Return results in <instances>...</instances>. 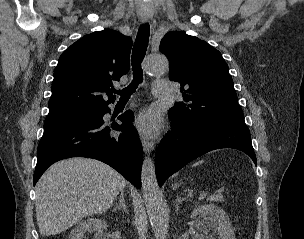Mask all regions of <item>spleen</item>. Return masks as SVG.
<instances>
[{"mask_svg":"<svg viewBox=\"0 0 304 239\" xmlns=\"http://www.w3.org/2000/svg\"><path fill=\"white\" fill-rule=\"evenodd\" d=\"M200 163H202V161L196 162L195 164H193V166H197Z\"/></svg>","mask_w":304,"mask_h":239,"instance_id":"3e777b00","label":"spleen"}]
</instances>
